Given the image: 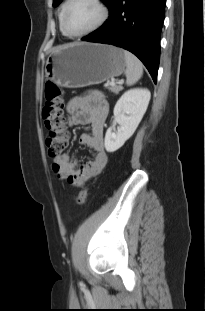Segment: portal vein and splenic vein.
Wrapping results in <instances>:
<instances>
[{
  "mask_svg": "<svg viewBox=\"0 0 205 311\" xmlns=\"http://www.w3.org/2000/svg\"><path fill=\"white\" fill-rule=\"evenodd\" d=\"M119 83H121V82H119ZM110 85H115V82H114V81H111V82H110Z\"/></svg>",
  "mask_w": 205,
  "mask_h": 311,
  "instance_id": "portal-vein-and-splenic-vein-1",
  "label": "portal vein and splenic vein"
}]
</instances>
